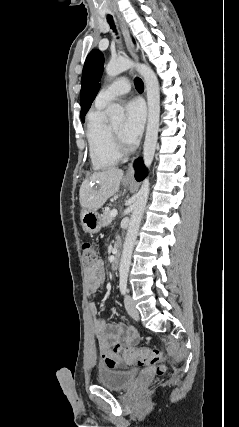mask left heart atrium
I'll return each instance as SVG.
<instances>
[{
    "instance_id": "left-heart-atrium-1",
    "label": "left heart atrium",
    "mask_w": 239,
    "mask_h": 427,
    "mask_svg": "<svg viewBox=\"0 0 239 427\" xmlns=\"http://www.w3.org/2000/svg\"><path fill=\"white\" fill-rule=\"evenodd\" d=\"M126 119L121 130L123 141L128 145H133L139 139L144 123L145 109L139 100H132L125 107Z\"/></svg>"
}]
</instances>
